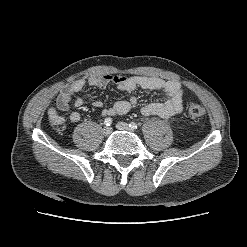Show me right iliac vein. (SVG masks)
Masks as SVG:
<instances>
[{
	"instance_id": "right-iliac-vein-1",
	"label": "right iliac vein",
	"mask_w": 247,
	"mask_h": 247,
	"mask_svg": "<svg viewBox=\"0 0 247 247\" xmlns=\"http://www.w3.org/2000/svg\"><path fill=\"white\" fill-rule=\"evenodd\" d=\"M111 132H112L111 127H104L103 128V134L104 135L108 136L109 134H111Z\"/></svg>"
}]
</instances>
